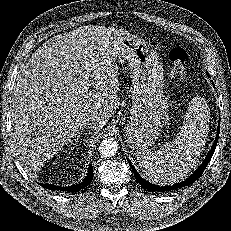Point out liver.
Masks as SVG:
<instances>
[{
    "instance_id": "6515ba94",
    "label": "liver",
    "mask_w": 231,
    "mask_h": 231,
    "mask_svg": "<svg viewBox=\"0 0 231 231\" xmlns=\"http://www.w3.org/2000/svg\"><path fill=\"white\" fill-rule=\"evenodd\" d=\"M126 30L87 25L47 40L22 66L11 97V142L35 171L94 117L98 133L119 105L117 49ZM92 86L95 90H89Z\"/></svg>"
}]
</instances>
